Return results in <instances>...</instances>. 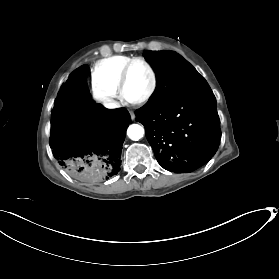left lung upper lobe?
Returning a JSON list of instances; mask_svg holds the SVG:
<instances>
[{
    "label": "left lung upper lobe",
    "instance_id": "5c2ea615",
    "mask_svg": "<svg viewBox=\"0 0 279 279\" xmlns=\"http://www.w3.org/2000/svg\"><path fill=\"white\" fill-rule=\"evenodd\" d=\"M144 56L156 72L157 85L143 107H159L204 79L189 62L175 52L146 51Z\"/></svg>",
    "mask_w": 279,
    "mask_h": 279
}]
</instances>
